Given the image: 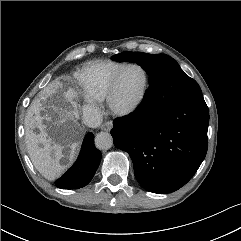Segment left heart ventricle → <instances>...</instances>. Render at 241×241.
Instances as JSON below:
<instances>
[{
    "label": "left heart ventricle",
    "instance_id": "b2bd125f",
    "mask_svg": "<svg viewBox=\"0 0 241 241\" xmlns=\"http://www.w3.org/2000/svg\"><path fill=\"white\" fill-rule=\"evenodd\" d=\"M144 84V74L137 67L125 69L120 75L115 93V102L119 106L130 104L139 95Z\"/></svg>",
    "mask_w": 241,
    "mask_h": 241
}]
</instances>
